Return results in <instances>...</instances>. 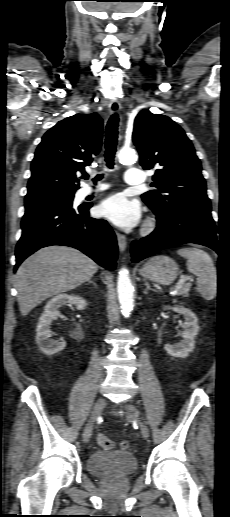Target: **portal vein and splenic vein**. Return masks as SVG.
<instances>
[{
    "mask_svg": "<svg viewBox=\"0 0 230 517\" xmlns=\"http://www.w3.org/2000/svg\"><path fill=\"white\" fill-rule=\"evenodd\" d=\"M186 281H193L190 277H186L184 275L181 276L180 280L177 282L176 286H175V291L179 290L180 288H182Z\"/></svg>",
    "mask_w": 230,
    "mask_h": 517,
    "instance_id": "18ae733b",
    "label": "portal vein and splenic vein"
}]
</instances>
